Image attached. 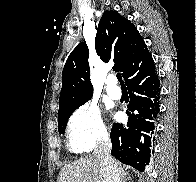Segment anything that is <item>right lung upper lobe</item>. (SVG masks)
Returning <instances> with one entry per match:
<instances>
[{"instance_id": "1", "label": "right lung upper lobe", "mask_w": 196, "mask_h": 182, "mask_svg": "<svg viewBox=\"0 0 196 182\" xmlns=\"http://www.w3.org/2000/svg\"><path fill=\"white\" fill-rule=\"evenodd\" d=\"M100 59L115 61L114 68L126 79L151 56L137 28L117 11H105L95 38ZM86 43L78 44L68 56L62 72L58 117L84 104L93 95Z\"/></svg>"}]
</instances>
